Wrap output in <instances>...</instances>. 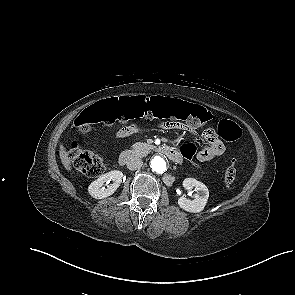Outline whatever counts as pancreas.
Returning a JSON list of instances; mask_svg holds the SVG:
<instances>
[{
  "instance_id": "1",
  "label": "pancreas",
  "mask_w": 295,
  "mask_h": 295,
  "mask_svg": "<svg viewBox=\"0 0 295 295\" xmlns=\"http://www.w3.org/2000/svg\"><path fill=\"white\" fill-rule=\"evenodd\" d=\"M153 148V145L143 143V142H138L132 145V153L137 156H144L146 155L149 150Z\"/></svg>"
}]
</instances>
